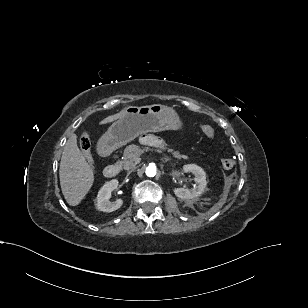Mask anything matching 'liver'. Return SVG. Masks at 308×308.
<instances>
[{
    "label": "liver",
    "mask_w": 308,
    "mask_h": 308,
    "mask_svg": "<svg viewBox=\"0 0 308 308\" xmlns=\"http://www.w3.org/2000/svg\"><path fill=\"white\" fill-rule=\"evenodd\" d=\"M127 108L106 117L100 124L110 123L121 118ZM59 177L62 193L70 206L78 205L93 185V170L79 150L75 134L71 135L63 149Z\"/></svg>",
    "instance_id": "6515ba94"
}]
</instances>
